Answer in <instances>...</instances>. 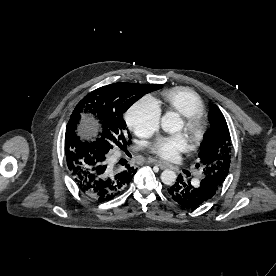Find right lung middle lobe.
Instances as JSON below:
<instances>
[{
    "label": "right lung middle lobe",
    "instance_id": "1",
    "mask_svg": "<svg viewBox=\"0 0 276 276\" xmlns=\"http://www.w3.org/2000/svg\"><path fill=\"white\" fill-rule=\"evenodd\" d=\"M162 88L160 84L115 83L88 93L75 107L66 128V137L75 135L81 115L89 114L95 120L98 135L94 138L107 154L113 146L129 142L123 113L144 94Z\"/></svg>",
    "mask_w": 276,
    "mask_h": 276
}]
</instances>
